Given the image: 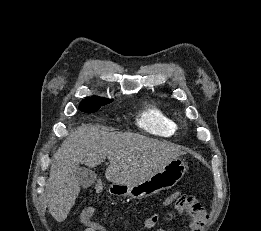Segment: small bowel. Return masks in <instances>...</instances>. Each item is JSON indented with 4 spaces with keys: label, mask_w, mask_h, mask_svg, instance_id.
Wrapping results in <instances>:
<instances>
[{
    "label": "small bowel",
    "mask_w": 261,
    "mask_h": 231,
    "mask_svg": "<svg viewBox=\"0 0 261 231\" xmlns=\"http://www.w3.org/2000/svg\"><path fill=\"white\" fill-rule=\"evenodd\" d=\"M94 208L92 206H86L81 214V222L84 224V231H107L100 223L92 219ZM160 222L158 214L154 213L149 216L144 223V226L148 230L155 229ZM188 231H204V225L197 224L192 220L188 223Z\"/></svg>",
    "instance_id": "small-bowel-1"
}]
</instances>
